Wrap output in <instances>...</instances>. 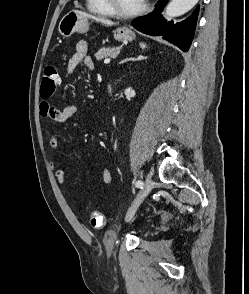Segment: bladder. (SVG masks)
I'll return each mask as SVG.
<instances>
[{"label":"bladder","mask_w":249,"mask_h":294,"mask_svg":"<svg viewBox=\"0 0 249 294\" xmlns=\"http://www.w3.org/2000/svg\"><path fill=\"white\" fill-rule=\"evenodd\" d=\"M116 233L114 232V231H109V232H107V234H106V238L108 239V240H115L116 239Z\"/></svg>","instance_id":"1"}]
</instances>
